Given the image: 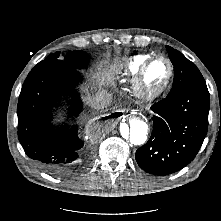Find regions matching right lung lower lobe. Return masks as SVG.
I'll return each mask as SVG.
<instances>
[{
	"label": "right lung lower lobe",
	"instance_id": "obj_1",
	"mask_svg": "<svg viewBox=\"0 0 221 221\" xmlns=\"http://www.w3.org/2000/svg\"><path fill=\"white\" fill-rule=\"evenodd\" d=\"M80 73L61 60H44L28 74L18 101V138L25 153L44 171L66 176L82 161L83 142L78 138L77 126L67 124L54 129L52 109L63 95L75 98L70 117L82 111L75 86ZM109 117H104L107 119Z\"/></svg>",
	"mask_w": 221,
	"mask_h": 221
}]
</instances>
